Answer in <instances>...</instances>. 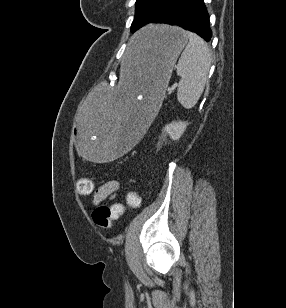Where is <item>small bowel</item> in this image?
Segmentation results:
<instances>
[{
    "label": "small bowel",
    "instance_id": "1",
    "mask_svg": "<svg viewBox=\"0 0 286 308\" xmlns=\"http://www.w3.org/2000/svg\"><path fill=\"white\" fill-rule=\"evenodd\" d=\"M119 189V183L111 180L100 186L93 195V203L99 204L105 200L112 199Z\"/></svg>",
    "mask_w": 286,
    "mask_h": 308
}]
</instances>
